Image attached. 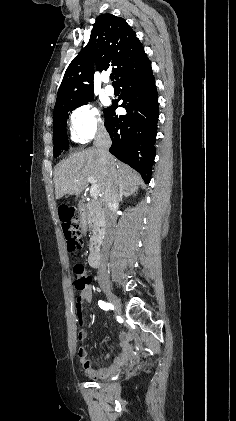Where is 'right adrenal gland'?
<instances>
[{"mask_svg":"<svg viewBox=\"0 0 236 421\" xmlns=\"http://www.w3.org/2000/svg\"><path fill=\"white\" fill-rule=\"evenodd\" d=\"M123 196H129V194H127V192H121L120 198H119V200H121V202L123 200Z\"/></svg>","mask_w":236,"mask_h":421,"instance_id":"right-adrenal-gland-1","label":"right adrenal gland"}]
</instances>
